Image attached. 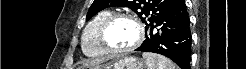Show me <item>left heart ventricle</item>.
<instances>
[{"instance_id":"1","label":"left heart ventricle","mask_w":246,"mask_h":69,"mask_svg":"<svg viewBox=\"0 0 246 69\" xmlns=\"http://www.w3.org/2000/svg\"><path fill=\"white\" fill-rule=\"evenodd\" d=\"M136 38V27L133 22L127 19H118L113 22L106 34V41L116 49H123L132 45Z\"/></svg>"}]
</instances>
